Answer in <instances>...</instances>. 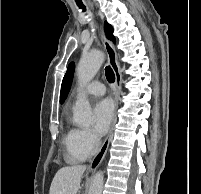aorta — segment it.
Instances as JSON below:
<instances>
[{"instance_id": "1", "label": "aorta", "mask_w": 201, "mask_h": 194, "mask_svg": "<svg viewBox=\"0 0 201 194\" xmlns=\"http://www.w3.org/2000/svg\"><path fill=\"white\" fill-rule=\"evenodd\" d=\"M103 53L93 51L81 58L77 66V77L80 86L89 83L99 71L103 63ZM74 122L82 127H89L92 122V110L88 100L81 98L73 107ZM104 175L102 171L97 172L91 182L88 194H102Z\"/></svg>"}]
</instances>
